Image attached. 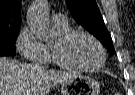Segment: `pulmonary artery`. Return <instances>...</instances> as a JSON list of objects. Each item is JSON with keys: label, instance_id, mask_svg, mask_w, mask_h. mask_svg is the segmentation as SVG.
Masks as SVG:
<instances>
[{"label": "pulmonary artery", "instance_id": "pulmonary-artery-1", "mask_svg": "<svg viewBox=\"0 0 135 95\" xmlns=\"http://www.w3.org/2000/svg\"><path fill=\"white\" fill-rule=\"evenodd\" d=\"M52 23L56 26H63L67 24L66 17L63 14H54L52 17Z\"/></svg>", "mask_w": 135, "mask_h": 95}]
</instances>
